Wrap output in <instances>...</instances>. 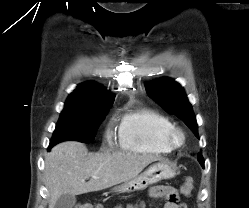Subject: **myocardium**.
Masks as SVG:
<instances>
[{
  "mask_svg": "<svg viewBox=\"0 0 249 208\" xmlns=\"http://www.w3.org/2000/svg\"><path fill=\"white\" fill-rule=\"evenodd\" d=\"M165 140L168 146L173 149L182 148L186 142V134L180 127H173L167 131Z\"/></svg>",
  "mask_w": 249,
  "mask_h": 208,
  "instance_id": "myocardium-1",
  "label": "myocardium"
}]
</instances>
